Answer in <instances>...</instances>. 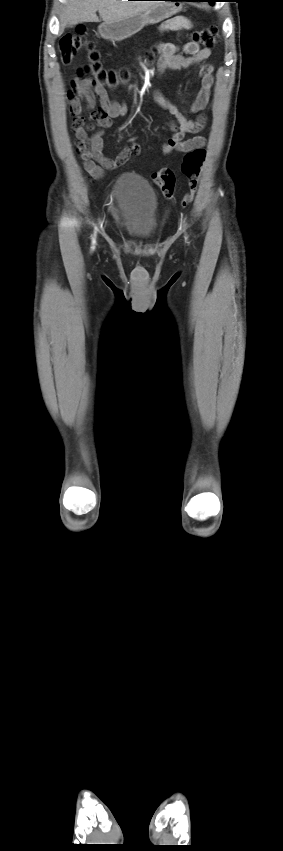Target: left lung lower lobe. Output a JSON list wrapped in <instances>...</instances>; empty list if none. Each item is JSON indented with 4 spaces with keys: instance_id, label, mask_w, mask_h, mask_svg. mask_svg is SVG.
Returning <instances> with one entry per match:
<instances>
[{
    "instance_id": "obj_1",
    "label": "left lung lower lobe",
    "mask_w": 283,
    "mask_h": 851,
    "mask_svg": "<svg viewBox=\"0 0 283 851\" xmlns=\"http://www.w3.org/2000/svg\"><path fill=\"white\" fill-rule=\"evenodd\" d=\"M178 1H206V2H210L211 4H213L215 2V0H178Z\"/></svg>"
}]
</instances>
